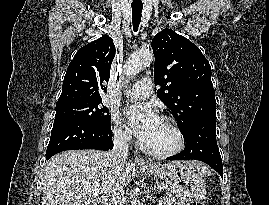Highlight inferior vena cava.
<instances>
[{
	"label": "inferior vena cava",
	"mask_w": 269,
	"mask_h": 205,
	"mask_svg": "<svg viewBox=\"0 0 269 205\" xmlns=\"http://www.w3.org/2000/svg\"><path fill=\"white\" fill-rule=\"evenodd\" d=\"M130 140L131 137L121 130L114 131V147L108 153V158L111 160V164L116 169L122 168L126 163ZM123 196V186L120 183H116L105 196L103 205H121Z\"/></svg>",
	"instance_id": "inferior-vena-cava-1"
}]
</instances>
